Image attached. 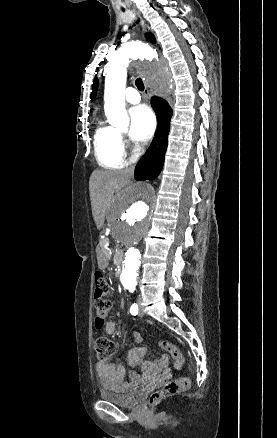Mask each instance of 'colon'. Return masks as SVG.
Listing matches in <instances>:
<instances>
[{
  "mask_svg": "<svg viewBox=\"0 0 277 438\" xmlns=\"http://www.w3.org/2000/svg\"><path fill=\"white\" fill-rule=\"evenodd\" d=\"M95 282V309L97 317L103 319L107 316V313L111 307V303L106 299L109 286L107 284L105 275L101 271H97L94 276ZM169 353L175 359V366L180 367L184 361V355L179 349L169 345L163 344ZM95 349L98 359L105 361L112 356L116 350V344L109 337L105 335H98L95 337ZM190 385V379L188 377H179L172 380H167L165 389H152L150 393L146 395V407L148 409H157L159 402L163 398H176L177 393L183 391Z\"/></svg>",
  "mask_w": 277,
  "mask_h": 438,
  "instance_id": "5ec220e1",
  "label": "colon"
}]
</instances>
